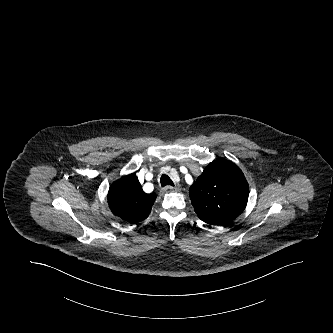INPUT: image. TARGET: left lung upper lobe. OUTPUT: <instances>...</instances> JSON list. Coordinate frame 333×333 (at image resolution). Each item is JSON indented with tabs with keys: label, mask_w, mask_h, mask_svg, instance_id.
Masks as SVG:
<instances>
[{
	"label": "left lung upper lobe",
	"mask_w": 333,
	"mask_h": 333,
	"mask_svg": "<svg viewBox=\"0 0 333 333\" xmlns=\"http://www.w3.org/2000/svg\"><path fill=\"white\" fill-rule=\"evenodd\" d=\"M197 216L210 225H226L245 209L249 187L241 169L224 158L210 163L189 190Z\"/></svg>",
	"instance_id": "obj_1"
}]
</instances>
